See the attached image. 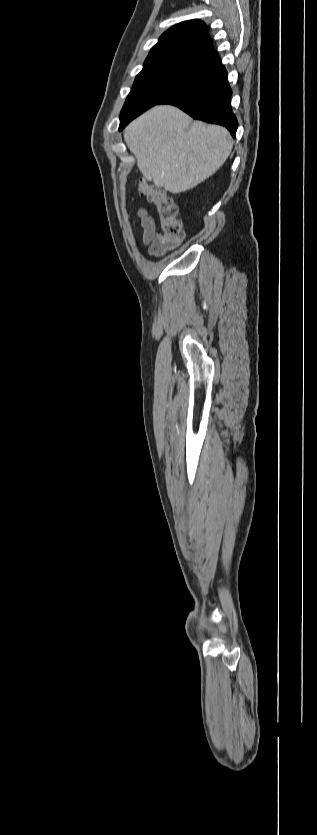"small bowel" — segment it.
Here are the masks:
<instances>
[{"label":"small bowel","mask_w":317,"mask_h":835,"mask_svg":"<svg viewBox=\"0 0 317 835\" xmlns=\"http://www.w3.org/2000/svg\"><path fill=\"white\" fill-rule=\"evenodd\" d=\"M138 216L141 220L143 243L150 246V251L152 254L163 253L164 251L160 248V241L162 235L157 231V224L155 219L149 214V212L145 208L138 209Z\"/></svg>","instance_id":"obj_1"}]
</instances>
